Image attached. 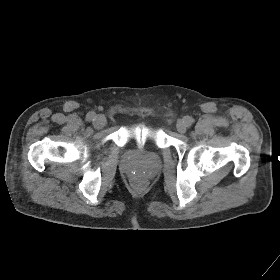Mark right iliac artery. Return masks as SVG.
<instances>
[{"instance_id":"1","label":"right iliac artery","mask_w":280,"mask_h":280,"mask_svg":"<svg viewBox=\"0 0 280 280\" xmlns=\"http://www.w3.org/2000/svg\"><path fill=\"white\" fill-rule=\"evenodd\" d=\"M96 118V114L94 112H89L87 115H86V120L87 121H93L95 120Z\"/></svg>"}]
</instances>
